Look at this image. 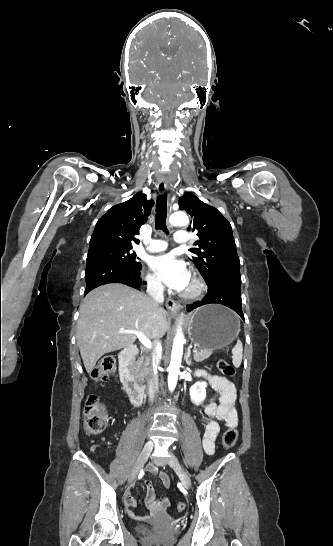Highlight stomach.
I'll use <instances>...</instances> for the list:
<instances>
[{
  "instance_id": "obj_1",
  "label": "stomach",
  "mask_w": 333,
  "mask_h": 546,
  "mask_svg": "<svg viewBox=\"0 0 333 546\" xmlns=\"http://www.w3.org/2000/svg\"><path fill=\"white\" fill-rule=\"evenodd\" d=\"M239 322L233 311L219 304L197 309L189 321V337L200 349L218 350L238 335Z\"/></svg>"
}]
</instances>
